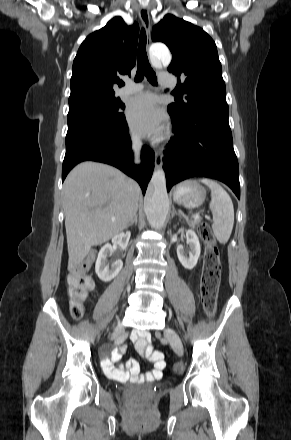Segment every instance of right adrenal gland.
<instances>
[{"mask_svg": "<svg viewBox=\"0 0 291 440\" xmlns=\"http://www.w3.org/2000/svg\"><path fill=\"white\" fill-rule=\"evenodd\" d=\"M137 221H138V215H135L132 221L128 224V227L137 224Z\"/></svg>", "mask_w": 291, "mask_h": 440, "instance_id": "obj_1", "label": "right adrenal gland"}]
</instances>
